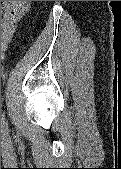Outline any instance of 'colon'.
<instances>
[{"label": "colon", "instance_id": "colon-1", "mask_svg": "<svg viewBox=\"0 0 121 169\" xmlns=\"http://www.w3.org/2000/svg\"><path fill=\"white\" fill-rule=\"evenodd\" d=\"M30 1H3L2 2V50H6L12 35L28 12Z\"/></svg>", "mask_w": 121, "mask_h": 169}]
</instances>
